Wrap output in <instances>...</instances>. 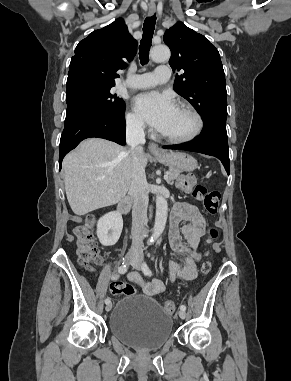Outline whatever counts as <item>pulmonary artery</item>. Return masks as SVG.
I'll use <instances>...</instances> for the list:
<instances>
[{
    "instance_id": "obj_1",
    "label": "pulmonary artery",
    "mask_w": 291,
    "mask_h": 381,
    "mask_svg": "<svg viewBox=\"0 0 291 381\" xmlns=\"http://www.w3.org/2000/svg\"><path fill=\"white\" fill-rule=\"evenodd\" d=\"M169 77V67L160 65L153 72L129 75L124 81V84L132 89H146L165 83Z\"/></svg>"
}]
</instances>
